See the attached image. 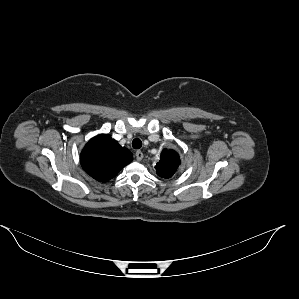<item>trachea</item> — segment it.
I'll return each mask as SVG.
<instances>
[{"label": "trachea", "instance_id": "trachea-1", "mask_svg": "<svg viewBox=\"0 0 299 299\" xmlns=\"http://www.w3.org/2000/svg\"><path fill=\"white\" fill-rule=\"evenodd\" d=\"M132 146L134 149H140L142 147V141L139 138H135L132 141Z\"/></svg>", "mask_w": 299, "mask_h": 299}]
</instances>
